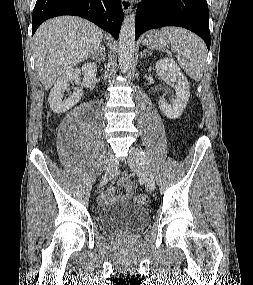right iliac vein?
Here are the masks:
<instances>
[{
	"label": "right iliac vein",
	"mask_w": 253,
	"mask_h": 285,
	"mask_svg": "<svg viewBox=\"0 0 253 285\" xmlns=\"http://www.w3.org/2000/svg\"><path fill=\"white\" fill-rule=\"evenodd\" d=\"M117 167L118 161L116 159L111 160L106 168V174L101 181V186L105 185L114 176Z\"/></svg>",
	"instance_id": "1"
}]
</instances>
